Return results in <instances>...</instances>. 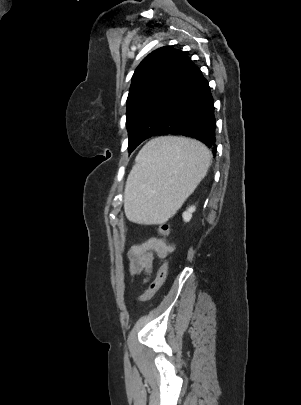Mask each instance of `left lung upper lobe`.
Listing matches in <instances>:
<instances>
[{
  "label": "left lung upper lobe",
  "mask_w": 301,
  "mask_h": 405,
  "mask_svg": "<svg viewBox=\"0 0 301 405\" xmlns=\"http://www.w3.org/2000/svg\"><path fill=\"white\" fill-rule=\"evenodd\" d=\"M193 62L180 50L161 47L136 68L127 98L128 150L137 138L151 137L181 95Z\"/></svg>",
  "instance_id": "1"
}]
</instances>
